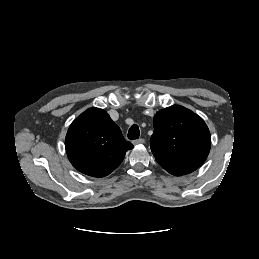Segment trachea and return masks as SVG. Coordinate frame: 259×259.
Here are the masks:
<instances>
[{
	"mask_svg": "<svg viewBox=\"0 0 259 259\" xmlns=\"http://www.w3.org/2000/svg\"><path fill=\"white\" fill-rule=\"evenodd\" d=\"M140 136V130L139 127L137 125H132L128 131V138L130 140H135L138 139Z\"/></svg>",
	"mask_w": 259,
	"mask_h": 259,
	"instance_id": "obj_1",
	"label": "trachea"
}]
</instances>
